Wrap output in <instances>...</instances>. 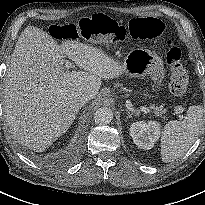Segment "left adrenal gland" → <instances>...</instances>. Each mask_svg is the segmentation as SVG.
<instances>
[{
	"instance_id": "1",
	"label": "left adrenal gland",
	"mask_w": 205,
	"mask_h": 205,
	"mask_svg": "<svg viewBox=\"0 0 205 205\" xmlns=\"http://www.w3.org/2000/svg\"><path fill=\"white\" fill-rule=\"evenodd\" d=\"M126 111H127V119L132 118V116H138L137 113L130 112L129 110Z\"/></svg>"
}]
</instances>
